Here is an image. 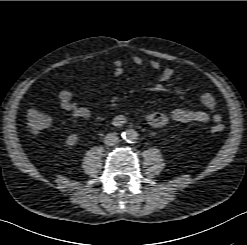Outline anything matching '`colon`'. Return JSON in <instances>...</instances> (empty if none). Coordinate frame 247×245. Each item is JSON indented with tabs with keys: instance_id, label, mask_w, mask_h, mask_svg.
<instances>
[{
	"instance_id": "colon-1",
	"label": "colon",
	"mask_w": 247,
	"mask_h": 245,
	"mask_svg": "<svg viewBox=\"0 0 247 245\" xmlns=\"http://www.w3.org/2000/svg\"><path fill=\"white\" fill-rule=\"evenodd\" d=\"M27 121L29 130L33 134L42 132L50 124L49 117L37 108H31L28 110ZM223 130L224 124L221 121L215 122L211 128V131L214 134H220L223 132Z\"/></svg>"
}]
</instances>
